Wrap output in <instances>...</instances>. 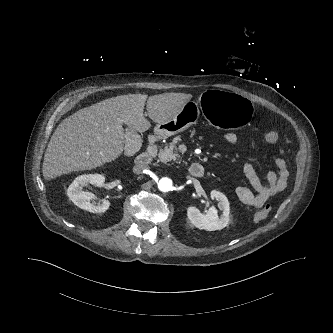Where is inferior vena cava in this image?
Returning <instances> with one entry per match:
<instances>
[{
    "instance_id": "inferior-vena-cava-1",
    "label": "inferior vena cava",
    "mask_w": 333,
    "mask_h": 333,
    "mask_svg": "<svg viewBox=\"0 0 333 333\" xmlns=\"http://www.w3.org/2000/svg\"><path fill=\"white\" fill-rule=\"evenodd\" d=\"M147 169H148L147 165L137 164L133 167V172L136 173V174H140V173H142L143 171H145Z\"/></svg>"
}]
</instances>
